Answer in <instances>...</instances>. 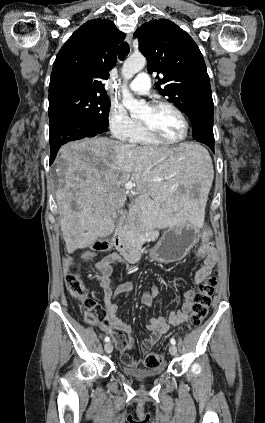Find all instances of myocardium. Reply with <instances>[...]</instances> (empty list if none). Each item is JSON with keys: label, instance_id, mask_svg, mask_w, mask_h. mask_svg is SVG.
<instances>
[{"label": "myocardium", "instance_id": "myocardium-1", "mask_svg": "<svg viewBox=\"0 0 265 423\" xmlns=\"http://www.w3.org/2000/svg\"><path fill=\"white\" fill-rule=\"evenodd\" d=\"M149 107L152 110H157L159 108H169L171 110H173L183 121L184 124V133L182 135L181 138L179 139H175V140H171V139H167L164 136H162L160 133H158L150 124L146 123V122H142L140 121V125L143 129V131L151 138L157 140L160 143L163 144H169V145H173V144H179L183 141H185L189 135V131H190V124L188 121L187 116L185 115V113L176 105H174L173 103L167 102V101H156L153 102L149 105Z\"/></svg>", "mask_w": 265, "mask_h": 423}]
</instances>
